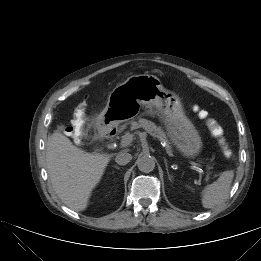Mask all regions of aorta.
Returning a JSON list of instances; mask_svg holds the SVG:
<instances>
[{
  "label": "aorta",
  "mask_w": 261,
  "mask_h": 261,
  "mask_svg": "<svg viewBox=\"0 0 261 261\" xmlns=\"http://www.w3.org/2000/svg\"><path fill=\"white\" fill-rule=\"evenodd\" d=\"M137 166L141 172L149 173L155 168V159L151 156H141L137 159Z\"/></svg>",
  "instance_id": "1"
}]
</instances>
